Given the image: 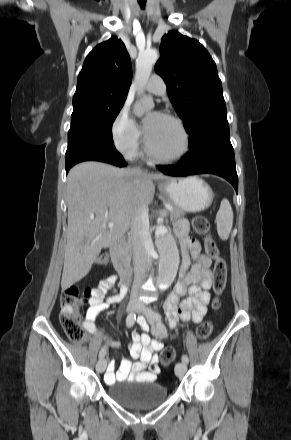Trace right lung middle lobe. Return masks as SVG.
Listing matches in <instances>:
<instances>
[{"mask_svg":"<svg viewBox=\"0 0 291 440\" xmlns=\"http://www.w3.org/2000/svg\"><path fill=\"white\" fill-rule=\"evenodd\" d=\"M124 102L125 100H90L73 103L68 144L89 141L114 146L112 124Z\"/></svg>","mask_w":291,"mask_h":440,"instance_id":"dd1d6c3e","label":"right lung middle lobe"}]
</instances>
